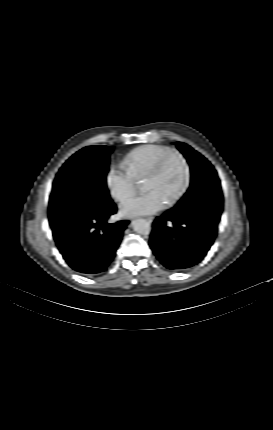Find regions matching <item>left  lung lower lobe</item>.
Returning <instances> with one entry per match:
<instances>
[{"instance_id":"left-lung-lower-lobe-1","label":"left lung lower lobe","mask_w":273,"mask_h":430,"mask_svg":"<svg viewBox=\"0 0 273 430\" xmlns=\"http://www.w3.org/2000/svg\"><path fill=\"white\" fill-rule=\"evenodd\" d=\"M222 206L221 192L203 190L157 217L149 244L160 262L172 270L199 263L214 242Z\"/></svg>"}]
</instances>
